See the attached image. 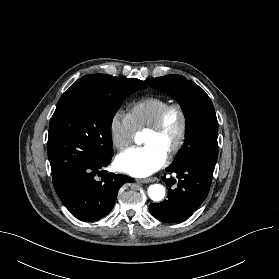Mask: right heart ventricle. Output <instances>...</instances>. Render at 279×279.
<instances>
[{"label":"right heart ventricle","mask_w":279,"mask_h":279,"mask_svg":"<svg viewBox=\"0 0 279 279\" xmlns=\"http://www.w3.org/2000/svg\"><path fill=\"white\" fill-rule=\"evenodd\" d=\"M168 104L170 102L161 97H146L133 103L128 109V115L137 131L146 130Z\"/></svg>","instance_id":"1"}]
</instances>
